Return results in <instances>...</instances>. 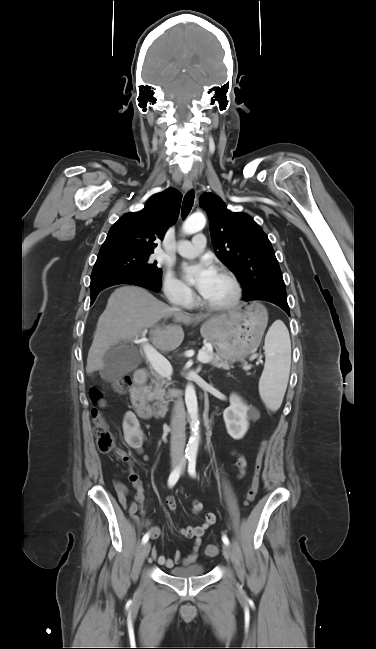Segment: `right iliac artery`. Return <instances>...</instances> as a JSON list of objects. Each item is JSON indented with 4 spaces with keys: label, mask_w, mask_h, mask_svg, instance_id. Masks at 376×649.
Here are the masks:
<instances>
[{
    "label": "right iliac artery",
    "mask_w": 376,
    "mask_h": 649,
    "mask_svg": "<svg viewBox=\"0 0 376 649\" xmlns=\"http://www.w3.org/2000/svg\"><path fill=\"white\" fill-rule=\"evenodd\" d=\"M180 474H181V465L177 466L170 474L168 479L169 487H173L177 483ZM148 540H149V534L146 533L142 538V543L145 544Z\"/></svg>",
    "instance_id": "82829eb1"
}]
</instances>
